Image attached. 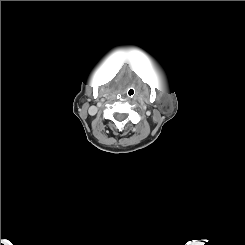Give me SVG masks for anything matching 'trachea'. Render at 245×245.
Instances as JSON below:
<instances>
[{"mask_svg": "<svg viewBox=\"0 0 245 245\" xmlns=\"http://www.w3.org/2000/svg\"><path fill=\"white\" fill-rule=\"evenodd\" d=\"M127 96L128 97H134L135 94H136V89L133 87V86H130L128 89H127Z\"/></svg>", "mask_w": 245, "mask_h": 245, "instance_id": "3493384b", "label": "trachea"}]
</instances>
